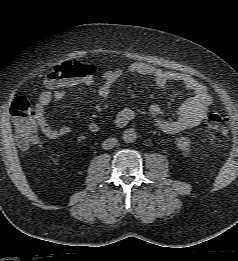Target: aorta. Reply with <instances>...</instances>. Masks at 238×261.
<instances>
[{
  "label": "aorta",
  "mask_w": 238,
  "mask_h": 261,
  "mask_svg": "<svg viewBox=\"0 0 238 261\" xmlns=\"http://www.w3.org/2000/svg\"><path fill=\"white\" fill-rule=\"evenodd\" d=\"M136 138H137V134L134 131V129H127L123 133V140L126 143H132L136 140Z\"/></svg>",
  "instance_id": "762f6f07"
}]
</instances>
